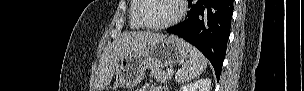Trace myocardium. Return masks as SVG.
Here are the masks:
<instances>
[{
	"label": "myocardium",
	"instance_id": "myocardium-1",
	"mask_svg": "<svg viewBox=\"0 0 304 91\" xmlns=\"http://www.w3.org/2000/svg\"><path fill=\"white\" fill-rule=\"evenodd\" d=\"M178 6V12L177 14L169 21L165 22V23H161V24H149L145 21V19L143 18V10L145 8V2L146 0H138V9H137V19L140 22V24L148 29H153V30H161V29H166L169 27H172L174 25H176L177 23H179L185 13H186V4H185V0H175Z\"/></svg>",
	"mask_w": 304,
	"mask_h": 91
}]
</instances>
